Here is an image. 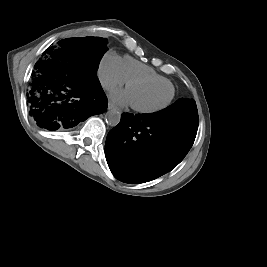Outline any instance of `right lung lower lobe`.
Wrapping results in <instances>:
<instances>
[{
  "label": "right lung lower lobe",
  "mask_w": 267,
  "mask_h": 267,
  "mask_svg": "<svg viewBox=\"0 0 267 267\" xmlns=\"http://www.w3.org/2000/svg\"><path fill=\"white\" fill-rule=\"evenodd\" d=\"M36 63L29 88L28 108L40 128L55 131L77 126L107 109V98L97 75L63 48L46 50Z\"/></svg>",
  "instance_id": "obj_1"
}]
</instances>
